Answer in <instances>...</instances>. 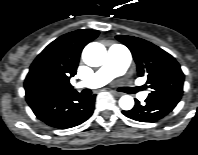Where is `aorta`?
Segmentation results:
<instances>
[{"label": "aorta", "instance_id": "1", "mask_svg": "<svg viewBox=\"0 0 198 155\" xmlns=\"http://www.w3.org/2000/svg\"><path fill=\"white\" fill-rule=\"evenodd\" d=\"M106 56V48L98 42L89 43L82 52L83 61L91 67H98L104 64ZM119 106L123 110H131L134 106L133 97L130 95L122 96L119 99Z\"/></svg>", "mask_w": 198, "mask_h": 155}]
</instances>
